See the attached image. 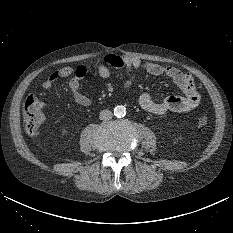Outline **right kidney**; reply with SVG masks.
Returning a JSON list of instances; mask_svg holds the SVG:
<instances>
[{
	"label": "right kidney",
	"instance_id": "obj_1",
	"mask_svg": "<svg viewBox=\"0 0 233 233\" xmlns=\"http://www.w3.org/2000/svg\"><path fill=\"white\" fill-rule=\"evenodd\" d=\"M67 133V130L64 128L63 130H62V135H65Z\"/></svg>",
	"mask_w": 233,
	"mask_h": 233
}]
</instances>
